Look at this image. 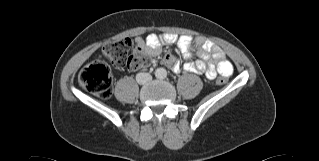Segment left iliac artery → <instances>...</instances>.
I'll return each mask as SVG.
<instances>
[{
  "label": "left iliac artery",
  "mask_w": 319,
  "mask_h": 161,
  "mask_svg": "<svg viewBox=\"0 0 319 161\" xmlns=\"http://www.w3.org/2000/svg\"><path fill=\"white\" fill-rule=\"evenodd\" d=\"M166 77V74L164 73L163 75H162V78H165Z\"/></svg>",
  "instance_id": "left-iliac-artery-1"
}]
</instances>
